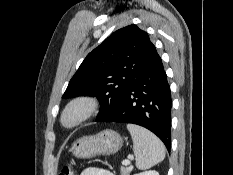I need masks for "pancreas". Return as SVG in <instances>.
Masks as SVG:
<instances>
[{
	"instance_id": "obj_1",
	"label": "pancreas",
	"mask_w": 233,
	"mask_h": 175,
	"mask_svg": "<svg viewBox=\"0 0 233 175\" xmlns=\"http://www.w3.org/2000/svg\"><path fill=\"white\" fill-rule=\"evenodd\" d=\"M130 172H131V168L121 167V169H120L121 175H129Z\"/></svg>"
}]
</instances>
